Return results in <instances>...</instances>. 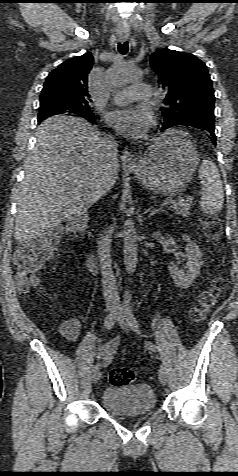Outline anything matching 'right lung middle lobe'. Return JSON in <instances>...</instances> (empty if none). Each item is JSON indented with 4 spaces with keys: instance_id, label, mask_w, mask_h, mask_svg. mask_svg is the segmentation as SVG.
I'll use <instances>...</instances> for the list:
<instances>
[{
    "instance_id": "1",
    "label": "right lung middle lobe",
    "mask_w": 238,
    "mask_h": 476,
    "mask_svg": "<svg viewBox=\"0 0 238 476\" xmlns=\"http://www.w3.org/2000/svg\"><path fill=\"white\" fill-rule=\"evenodd\" d=\"M57 114L80 116L85 118L89 122H93L95 120V116L90 111L89 106L73 107V106H66V105H63L57 102H51V101L40 102L39 115H38L39 122L47 117L57 115Z\"/></svg>"
}]
</instances>
